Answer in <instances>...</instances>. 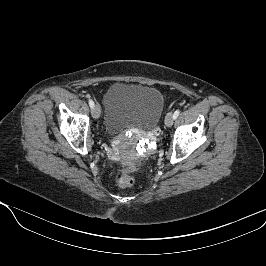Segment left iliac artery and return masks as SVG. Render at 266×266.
<instances>
[{
  "label": "left iliac artery",
  "mask_w": 266,
  "mask_h": 266,
  "mask_svg": "<svg viewBox=\"0 0 266 266\" xmlns=\"http://www.w3.org/2000/svg\"><path fill=\"white\" fill-rule=\"evenodd\" d=\"M179 114H180V110L177 109V110L174 112V114H173V118L176 119V118L179 116Z\"/></svg>",
  "instance_id": "1"
}]
</instances>
